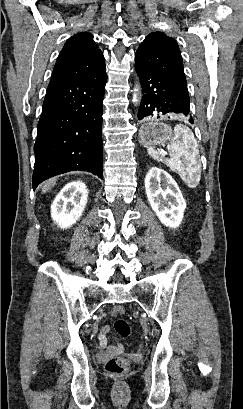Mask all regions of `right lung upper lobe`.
Wrapping results in <instances>:
<instances>
[{"mask_svg": "<svg viewBox=\"0 0 243 409\" xmlns=\"http://www.w3.org/2000/svg\"><path fill=\"white\" fill-rule=\"evenodd\" d=\"M105 67L104 56L88 32L78 33L67 40L61 50L52 79L85 78Z\"/></svg>", "mask_w": 243, "mask_h": 409, "instance_id": "cb5924a9", "label": "right lung upper lobe"}]
</instances>
